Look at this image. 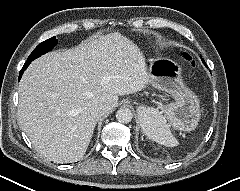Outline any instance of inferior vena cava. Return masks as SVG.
I'll return each instance as SVG.
<instances>
[{
  "instance_id": "602c4592",
  "label": "inferior vena cava",
  "mask_w": 240,
  "mask_h": 191,
  "mask_svg": "<svg viewBox=\"0 0 240 191\" xmlns=\"http://www.w3.org/2000/svg\"><path fill=\"white\" fill-rule=\"evenodd\" d=\"M95 109L98 113L102 114L107 111L108 107L105 103H99L95 106Z\"/></svg>"
}]
</instances>
